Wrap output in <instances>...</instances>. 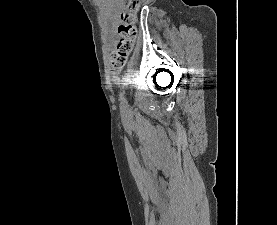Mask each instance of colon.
I'll return each mask as SVG.
<instances>
[{"label":"colon","mask_w":277,"mask_h":225,"mask_svg":"<svg viewBox=\"0 0 277 225\" xmlns=\"http://www.w3.org/2000/svg\"><path fill=\"white\" fill-rule=\"evenodd\" d=\"M126 3L127 10L119 17V40L110 56V64L116 70L122 69L126 65L128 57L133 50L137 36V12L142 0H126Z\"/></svg>","instance_id":"obj_1"}]
</instances>
